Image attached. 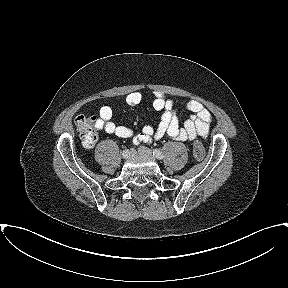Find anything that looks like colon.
<instances>
[{
    "label": "colon",
    "instance_id": "5ec220e1",
    "mask_svg": "<svg viewBox=\"0 0 288 288\" xmlns=\"http://www.w3.org/2000/svg\"><path fill=\"white\" fill-rule=\"evenodd\" d=\"M76 130L81 141L86 146H92L97 140L96 118L94 116L80 115L75 120ZM193 156L197 161L205 157V148L200 141L193 144Z\"/></svg>",
    "mask_w": 288,
    "mask_h": 288
}]
</instances>
